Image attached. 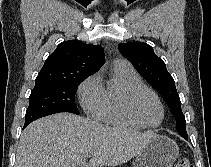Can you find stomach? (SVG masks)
Masks as SVG:
<instances>
[{"mask_svg":"<svg viewBox=\"0 0 211 167\" xmlns=\"http://www.w3.org/2000/svg\"><path fill=\"white\" fill-rule=\"evenodd\" d=\"M178 155V145L172 139L155 134L137 155L134 167H173Z\"/></svg>","mask_w":211,"mask_h":167,"instance_id":"1","label":"stomach"}]
</instances>
